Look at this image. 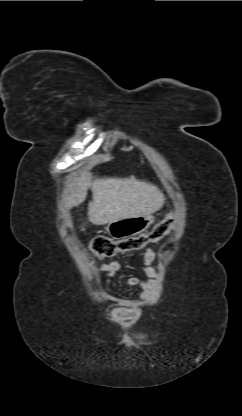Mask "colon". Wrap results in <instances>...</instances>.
<instances>
[{
  "label": "colon",
  "instance_id": "obj_1",
  "mask_svg": "<svg viewBox=\"0 0 242 416\" xmlns=\"http://www.w3.org/2000/svg\"><path fill=\"white\" fill-rule=\"evenodd\" d=\"M174 217L169 216L155 225L150 231L121 240H113L106 236H98L91 242V249L98 258H111L133 250H139L148 244L156 243L166 236L173 228Z\"/></svg>",
  "mask_w": 242,
  "mask_h": 416
}]
</instances>
